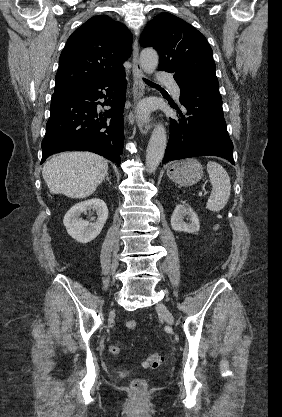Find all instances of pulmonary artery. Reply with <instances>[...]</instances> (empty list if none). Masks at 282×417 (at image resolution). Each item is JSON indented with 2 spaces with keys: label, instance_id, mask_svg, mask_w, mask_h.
<instances>
[{
  "label": "pulmonary artery",
  "instance_id": "pulmonary-artery-1",
  "mask_svg": "<svg viewBox=\"0 0 282 417\" xmlns=\"http://www.w3.org/2000/svg\"><path fill=\"white\" fill-rule=\"evenodd\" d=\"M156 82L157 83H170L171 82V75L170 74H157L156 75ZM173 95L175 98H179L180 89L178 85L172 81L170 83Z\"/></svg>",
  "mask_w": 282,
  "mask_h": 417
}]
</instances>
